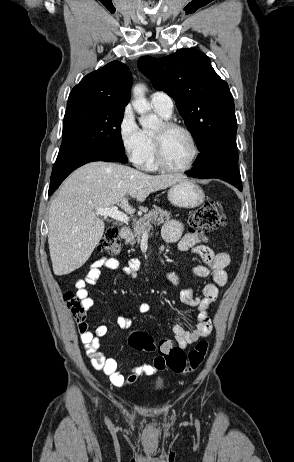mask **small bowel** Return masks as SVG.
Here are the masks:
<instances>
[{
	"label": "small bowel",
	"mask_w": 294,
	"mask_h": 462,
	"mask_svg": "<svg viewBox=\"0 0 294 462\" xmlns=\"http://www.w3.org/2000/svg\"><path fill=\"white\" fill-rule=\"evenodd\" d=\"M163 238L166 242L177 243L180 251H191L197 254L203 261L202 265L194 267L191 275L195 278L211 277L212 282L206 284L202 291V296H196L192 287H186L180 292L182 303L195 307L197 318L195 327L189 331L182 325L175 324L172 327L176 343L179 348H186L188 345L196 343L201 338L208 336L212 331V322L209 317V309L218 297L221 290L227 282V273L225 271L229 264V256L225 252H214L208 246L202 244L207 241V237L184 234L182 223L177 220L167 222L162 230ZM120 262L115 258H100L91 266L84 278L76 281V296L81 299L85 310L93 305V300L89 296L88 285H94L101 275L102 269L115 270L119 268ZM141 267V261L137 258L132 259L127 265L122 267L123 272L129 277H136L137 271ZM166 279L174 285H181L183 278L176 272H166ZM151 306L147 302L139 305V312L148 313ZM135 318L118 317L117 324L122 329H128L132 326ZM80 341L84 345L86 355L90 359L94 369L107 375L111 383L116 387H122L134 383L141 375H153L160 369L154 364H139L136 366H127V376H124L118 370V363L112 357L105 356L100 351V340L107 332L105 325H100L94 332L89 329L86 322L78 325Z\"/></svg>",
	"instance_id": "small-bowel-1"
}]
</instances>
